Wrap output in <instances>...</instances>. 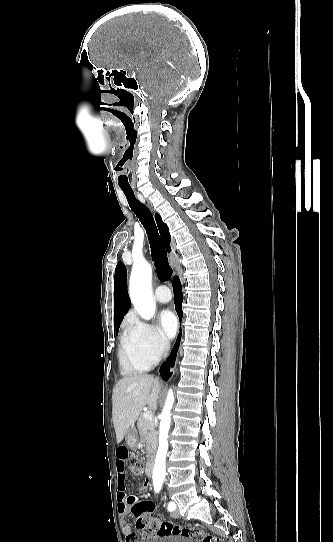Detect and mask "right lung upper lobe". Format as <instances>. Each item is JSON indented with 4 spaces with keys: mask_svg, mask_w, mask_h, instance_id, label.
Wrapping results in <instances>:
<instances>
[{
    "mask_svg": "<svg viewBox=\"0 0 333 542\" xmlns=\"http://www.w3.org/2000/svg\"><path fill=\"white\" fill-rule=\"evenodd\" d=\"M155 219L157 226L165 245V248L168 252L171 251L170 241L171 236L169 233L168 226L162 221V218L159 214H155ZM127 272L124 264L119 261L115 269V284H114V325L115 327L120 326L125 314L128 312L131 307V302L127 292Z\"/></svg>",
    "mask_w": 333,
    "mask_h": 542,
    "instance_id": "cb5924a9",
    "label": "right lung upper lobe"
}]
</instances>
